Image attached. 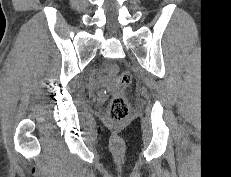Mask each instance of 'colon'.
Listing matches in <instances>:
<instances>
[{
	"instance_id": "5ec220e1",
	"label": "colon",
	"mask_w": 231,
	"mask_h": 177,
	"mask_svg": "<svg viewBox=\"0 0 231 177\" xmlns=\"http://www.w3.org/2000/svg\"><path fill=\"white\" fill-rule=\"evenodd\" d=\"M132 80V73L130 71H123L110 84L112 97L109 103L108 117L113 123H121L129 115L130 103L124 93V88L130 85Z\"/></svg>"
}]
</instances>
